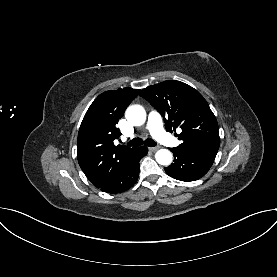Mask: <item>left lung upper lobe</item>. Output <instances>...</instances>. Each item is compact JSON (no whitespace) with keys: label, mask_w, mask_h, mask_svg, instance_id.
I'll use <instances>...</instances> for the list:
<instances>
[{"label":"left lung upper lobe","mask_w":277,"mask_h":277,"mask_svg":"<svg viewBox=\"0 0 277 277\" xmlns=\"http://www.w3.org/2000/svg\"><path fill=\"white\" fill-rule=\"evenodd\" d=\"M164 118L166 130L182 129L179 148H219L216 117L203 96L193 87L176 80L164 81L140 94Z\"/></svg>","instance_id":"1"}]
</instances>
